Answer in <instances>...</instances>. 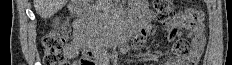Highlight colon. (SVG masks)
Segmentation results:
<instances>
[{"label":"colon","mask_w":232,"mask_h":65,"mask_svg":"<svg viewBox=\"0 0 232 65\" xmlns=\"http://www.w3.org/2000/svg\"><path fill=\"white\" fill-rule=\"evenodd\" d=\"M154 9L159 21L165 26H168L175 17L173 5L169 0H155ZM186 17L192 30L201 26L203 15L199 8H190L186 13ZM65 41L66 35L57 30L51 31L43 38L45 65H67V58L63 51ZM173 50L176 58L185 60L191 52V46L187 41L178 40L174 44ZM94 62V55L91 51H84L82 53L81 65H94Z\"/></svg>","instance_id":"colon-1"}]
</instances>
